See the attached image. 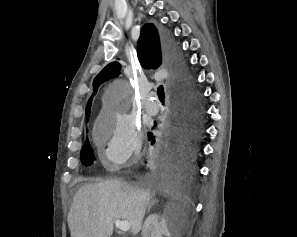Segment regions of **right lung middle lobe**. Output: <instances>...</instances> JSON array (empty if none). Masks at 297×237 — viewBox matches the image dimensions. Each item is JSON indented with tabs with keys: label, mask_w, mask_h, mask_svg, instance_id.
<instances>
[{
	"label": "right lung middle lobe",
	"mask_w": 297,
	"mask_h": 237,
	"mask_svg": "<svg viewBox=\"0 0 297 237\" xmlns=\"http://www.w3.org/2000/svg\"><path fill=\"white\" fill-rule=\"evenodd\" d=\"M94 159L93 150L91 149L89 142L85 144L81 152V160L84 164L90 165Z\"/></svg>",
	"instance_id": "dd1d6c3e"
}]
</instances>
